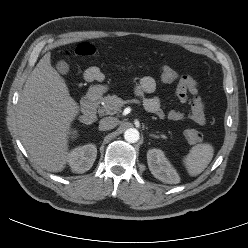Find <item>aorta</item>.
Listing matches in <instances>:
<instances>
[{
	"mask_svg": "<svg viewBox=\"0 0 248 248\" xmlns=\"http://www.w3.org/2000/svg\"><path fill=\"white\" fill-rule=\"evenodd\" d=\"M139 132L135 128H129L124 133V139L129 143H136L139 140Z\"/></svg>",
	"mask_w": 248,
	"mask_h": 248,
	"instance_id": "obj_1",
	"label": "aorta"
}]
</instances>
